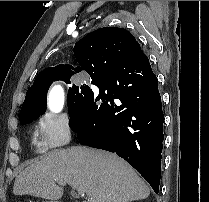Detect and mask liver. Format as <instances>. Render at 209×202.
Masks as SVG:
<instances>
[{
  "mask_svg": "<svg viewBox=\"0 0 209 202\" xmlns=\"http://www.w3.org/2000/svg\"><path fill=\"white\" fill-rule=\"evenodd\" d=\"M63 180L74 189L83 190L88 202H131L145 199L149 187L136 171L115 154L72 146L39 157L15 179L14 195H31L58 200Z\"/></svg>",
  "mask_w": 209,
  "mask_h": 202,
  "instance_id": "1",
  "label": "liver"
}]
</instances>
